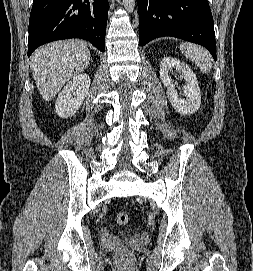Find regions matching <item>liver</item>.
I'll use <instances>...</instances> for the list:
<instances>
[{
  "label": "liver",
  "instance_id": "6515ba94",
  "mask_svg": "<svg viewBox=\"0 0 253 271\" xmlns=\"http://www.w3.org/2000/svg\"><path fill=\"white\" fill-rule=\"evenodd\" d=\"M90 51L83 41H56L40 47L31 56L30 68L42 98L53 99L64 84L84 71Z\"/></svg>",
  "mask_w": 253,
  "mask_h": 271
}]
</instances>
